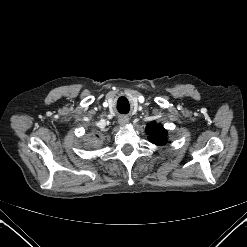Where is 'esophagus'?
I'll return each instance as SVG.
<instances>
[{"label":"esophagus","mask_w":247,"mask_h":247,"mask_svg":"<svg viewBox=\"0 0 247 247\" xmlns=\"http://www.w3.org/2000/svg\"><path fill=\"white\" fill-rule=\"evenodd\" d=\"M129 122V118L125 115H122L118 119V123L120 126H125Z\"/></svg>","instance_id":"34e87169"}]
</instances>
